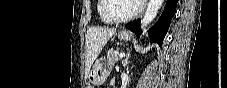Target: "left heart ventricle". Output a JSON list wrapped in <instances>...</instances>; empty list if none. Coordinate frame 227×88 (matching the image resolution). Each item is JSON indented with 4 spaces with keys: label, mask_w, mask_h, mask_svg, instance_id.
<instances>
[{
    "label": "left heart ventricle",
    "mask_w": 227,
    "mask_h": 88,
    "mask_svg": "<svg viewBox=\"0 0 227 88\" xmlns=\"http://www.w3.org/2000/svg\"><path fill=\"white\" fill-rule=\"evenodd\" d=\"M137 4L136 0H109L107 11L112 18L120 19L133 13Z\"/></svg>",
    "instance_id": "b2bd125f"
}]
</instances>
